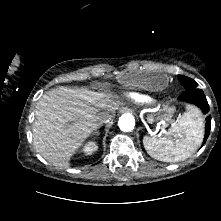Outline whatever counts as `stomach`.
Returning <instances> with one entry per match:
<instances>
[{"instance_id":"0dacf381","label":"stomach","mask_w":221,"mask_h":221,"mask_svg":"<svg viewBox=\"0 0 221 221\" xmlns=\"http://www.w3.org/2000/svg\"><path fill=\"white\" fill-rule=\"evenodd\" d=\"M118 79L120 83L126 86L135 85L139 88L143 87L149 90H160L164 88L167 83L165 76L161 74L151 75L135 70H124L120 72Z\"/></svg>"}]
</instances>
